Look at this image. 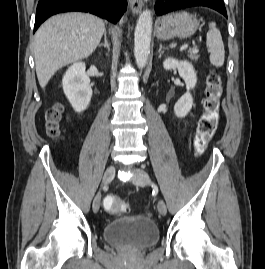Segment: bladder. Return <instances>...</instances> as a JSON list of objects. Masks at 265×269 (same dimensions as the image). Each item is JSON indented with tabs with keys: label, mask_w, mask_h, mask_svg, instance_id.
<instances>
[{
	"label": "bladder",
	"mask_w": 265,
	"mask_h": 269,
	"mask_svg": "<svg viewBox=\"0 0 265 269\" xmlns=\"http://www.w3.org/2000/svg\"><path fill=\"white\" fill-rule=\"evenodd\" d=\"M103 237L117 247L144 249L158 242L159 229L145 216L122 217L104 227Z\"/></svg>",
	"instance_id": "31cf9c89"
}]
</instances>
